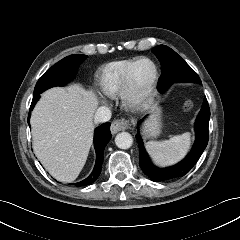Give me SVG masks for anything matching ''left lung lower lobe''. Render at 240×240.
I'll return each mask as SVG.
<instances>
[{
  "label": "left lung lower lobe",
  "instance_id": "0a47b994",
  "mask_svg": "<svg viewBox=\"0 0 240 240\" xmlns=\"http://www.w3.org/2000/svg\"><path fill=\"white\" fill-rule=\"evenodd\" d=\"M209 119L210 109L205 97L201 111L195 122L196 139L190 153L178 164L163 169L157 168L151 163L147 153L145 152L142 139L139 133H137L136 139L139 145V165L144 174H146L154 182L171 180L186 175L198 161L207 146ZM142 121L143 119L139 122Z\"/></svg>",
  "mask_w": 240,
  "mask_h": 240
}]
</instances>
